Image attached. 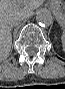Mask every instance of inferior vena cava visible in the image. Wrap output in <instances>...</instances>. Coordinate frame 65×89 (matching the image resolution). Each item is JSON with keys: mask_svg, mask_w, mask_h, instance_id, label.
I'll return each instance as SVG.
<instances>
[{"mask_svg": "<svg viewBox=\"0 0 65 89\" xmlns=\"http://www.w3.org/2000/svg\"><path fill=\"white\" fill-rule=\"evenodd\" d=\"M24 18L25 17H20V18L14 19L13 22H12V25L14 26V25L18 24L20 22V20H23Z\"/></svg>", "mask_w": 65, "mask_h": 89, "instance_id": "602c4592", "label": "inferior vena cava"}]
</instances>
